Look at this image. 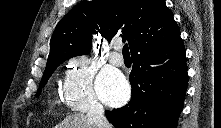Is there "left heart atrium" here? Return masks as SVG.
<instances>
[{
    "label": "left heart atrium",
    "mask_w": 221,
    "mask_h": 128,
    "mask_svg": "<svg viewBox=\"0 0 221 128\" xmlns=\"http://www.w3.org/2000/svg\"><path fill=\"white\" fill-rule=\"evenodd\" d=\"M101 99L109 105L124 102L129 95V87L124 78L116 71H103L97 81Z\"/></svg>",
    "instance_id": "left-heart-atrium-1"
}]
</instances>
